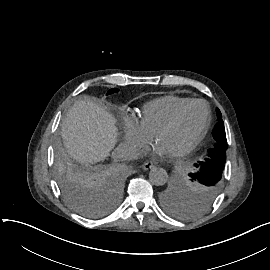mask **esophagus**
I'll list each match as a JSON object with an SVG mask.
<instances>
[{
	"mask_svg": "<svg viewBox=\"0 0 270 270\" xmlns=\"http://www.w3.org/2000/svg\"><path fill=\"white\" fill-rule=\"evenodd\" d=\"M141 167L144 170H149V169H152L154 167V163L152 161H147V162L143 163Z\"/></svg>",
	"mask_w": 270,
	"mask_h": 270,
	"instance_id": "34e87169",
	"label": "esophagus"
}]
</instances>
